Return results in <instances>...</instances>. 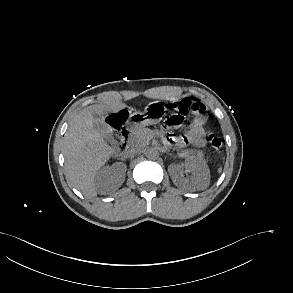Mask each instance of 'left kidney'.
Returning a JSON list of instances; mask_svg holds the SVG:
<instances>
[{
    "instance_id": "left-kidney-1",
    "label": "left kidney",
    "mask_w": 293,
    "mask_h": 293,
    "mask_svg": "<svg viewBox=\"0 0 293 293\" xmlns=\"http://www.w3.org/2000/svg\"><path fill=\"white\" fill-rule=\"evenodd\" d=\"M174 184L178 187H190L194 190H204L210 182V171L203 161L187 160L184 165L173 164L169 166ZM191 172L192 178H183V172Z\"/></svg>"
}]
</instances>
